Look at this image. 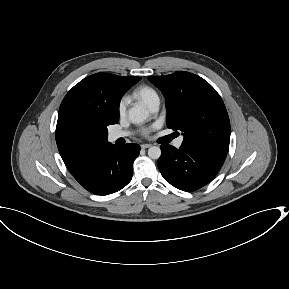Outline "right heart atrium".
Returning <instances> with one entry per match:
<instances>
[{
  "label": "right heart atrium",
  "mask_w": 289,
  "mask_h": 289,
  "mask_svg": "<svg viewBox=\"0 0 289 289\" xmlns=\"http://www.w3.org/2000/svg\"><path fill=\"white\" fill-rule=\"evenodd\" d=\"M127 104H128L127 98H122L120 100L119 105H118V112L120 115H123L125 113Z\"/></svg>",
  "instance_id": "obj_1"
}]
</instances>
